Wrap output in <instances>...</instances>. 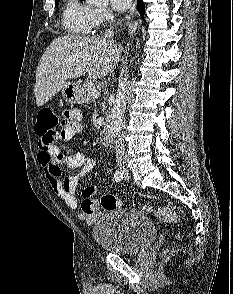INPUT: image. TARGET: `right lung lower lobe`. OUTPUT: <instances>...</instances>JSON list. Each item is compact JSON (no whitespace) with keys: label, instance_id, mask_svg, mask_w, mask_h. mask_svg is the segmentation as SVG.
<instances>
[{"label":"right lung lower lobe","instance_id":"right-lung-lower-lobe-1","mask_svg":"<svg viewBox=\"0 0 233 294\" xmlns=\"http://www.w3.org/2000/svg\"><path fill=\"white\" fill-rule=\"evenodd\" d=\"M137 9L138 11L141 13V16L143 17L144 15V10H145V6H144V3L142 0H138V3H137Z\"/></svg>","mask_w":233,"mask_h":294}]
</instances>
